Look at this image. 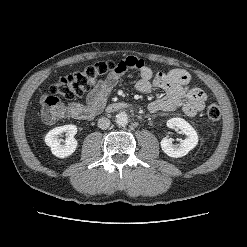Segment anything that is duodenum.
<instances>
[{"instance_id":"obj_1","label":"duodenum","mask_w":247,"mask_h":247,"mask_svg":"<svg viewBox=\"0 0 247 247\" xmlns=\"http://www.w3.org/2000/svg\"><path fill=\"white\" fill-rule=\"evenodd\" d=\"M128 107H129V105H128L127 103L118 102V103L110 104V105L107 107V111L113 112V111H117V110L126 109V108H128Z\"/></svg>"}]
</instances>
